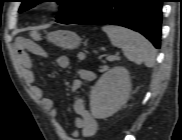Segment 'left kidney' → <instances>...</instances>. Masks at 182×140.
<instances>
[{"label":"left kidney","instance_id":"5707ae66","mask_svg":"<svg viewBox=\"0 0 182 140\" xmlns=\"http://www.w3.org/2000/svg\"><path fill=\"white\" fill-rule=\"evenodd\" d=\"M131 91L129 72L114 67L104 73L90 93V110L94 118L104 119L119 111L128 101Z\"/></svg>","mask_w":182,"mask_h":140}]
</instances>
